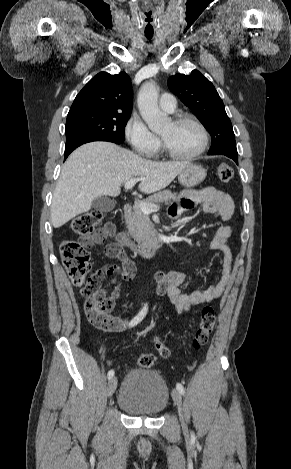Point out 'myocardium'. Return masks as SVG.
<instances>
[{
    "instance_id": "myocardium-1",
    "label": "myocardium",
    "mask_w": 291,
    "mask_h": 469,
    "mask_svg": "<svg viewBox=\"0 0 291 469\" xmlns=\"http://www.w3.org/2000/svg\"><path fill=\"white\" fill-rule=\"evenodd\" d=\"M183 122H190L194 126H196V128L199 130V132L201 134V143H200V146L198 147V149L195 152H193L191 154H187V155L176 154L175 152H173L167 146L164 139L162 137H160V139H161V148H162V151L165 155H167L168 157H170L174 160L190 161V160H194V159L198 158L200 155H202L205 152V150L208 146V143H209V134H208V131L205 128V126L193 115L179 114V115H176L172 120L173 124H180V123H183Z\"/></svg>"
}]
</instances>
